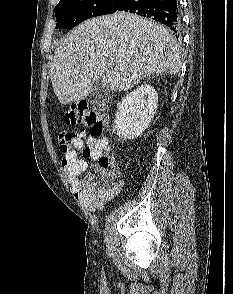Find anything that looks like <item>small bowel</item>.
I'll list each match as a JSON object with an SVG mask.
<instances>
[{
    "instance_id": "obj_1",
    "label": "small bowel",
    "mask_w": 233,
    "mask_h": 294,
    "mask_svg": "<svg viewBox=\"0 0 233 294\" xmlns=\"http://www.w3.org/2000/svg\"><path fill=\"white\" fill-rule=\"evenodd\" d=\"M109 144L108 139H96L86 137L85 132L73 133L71 139V148L66 156L62 158V166L65 170L66 177L71 184H76L78 177L88 169V162L94 160L95 156ZM82 155L80 157L79 155ZM81 183L79 199L89 210H96L103 207L107 202L112 200L121 190L122 182L117 180L106 189L87 190Z\"/></svg>"
}]
</instances>
